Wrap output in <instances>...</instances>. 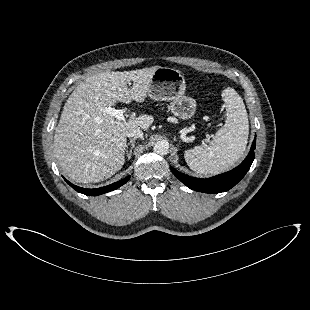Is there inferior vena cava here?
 <instances>
[{"instance_id": "inferior-vena-cava-1", "label": "inferior vena cava", "mask_w": 310, "mask_h": 310, "mask_svg": "<svg viewBox=\"0 0 310 310\" xmlns=\"http://www.w3.org/2000/svg\"><path fill=\"white\" fill-rule=\"evenodd\" d=\"M127 137L143 139V132L140 129H133L127 133Z\"/></svg>"}]
</instances>
